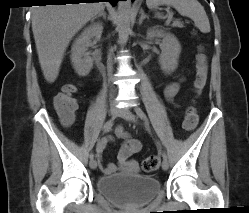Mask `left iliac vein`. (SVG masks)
Here are the masks:
<instances>
[{
    "instance_id": "obj_1",
    "label": "left iliac vein",
    "mask_w": 249,
    "mask_h": 213,
    "mask_svg": "<svg viewBox=\"0 0 249 213\" xmlns=\"http://www.w3.org/2000/svg\"><path fill=\"white\" fill-rule=\"evenodd\" d=\"M119 116L127 121L136 122V116L128 109L122 108L119 111ZM169 168V162L167 159H163L162 169L167 170Z\"/></svg>"
}]
</instances>
